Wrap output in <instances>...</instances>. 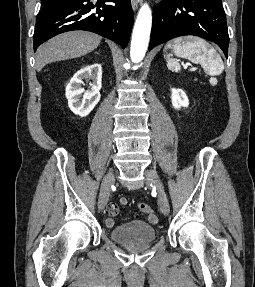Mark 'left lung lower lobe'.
<instances>
[{"label":"left lung lower lobe","mask_w":255,"mask_h":287,"mask_svg":"<svg viewBox=\"0 0 255 287\" xmlns=\"http://www.w3.org/2000/svg\"><path fill=\"white\" fill-rule=\"evenodd\" d=\"M222 0H163L153 13L149 50L175 37L215 42L228 57L229 36Z\"/></svg>","instance_id":"0a47b994"}]
</instances>
